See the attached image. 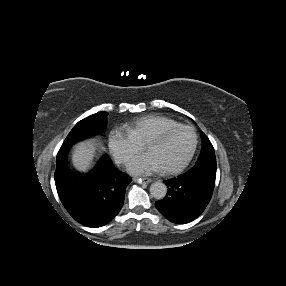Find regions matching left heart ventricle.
I'll return each instance as SVG.
<instances>
[{"instance_id":"1","label":"left heart ventricle","mask_w":286,"mask_h":286,"mask_svg":"<svg viewBox=\"0 0 286 286\" xmlns=\"http://www.w3.org/2000/svg\"><path fill=\"white\" fill-rule=\"evenodd\" d=\"M194 142V133L184 129L162 142L150 144L147 150L154 155L163 168L183 161L193 148Z\"/></svg>"}]
</instances>
